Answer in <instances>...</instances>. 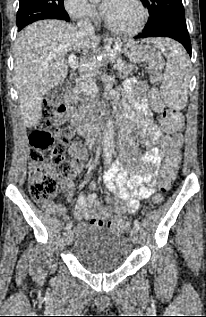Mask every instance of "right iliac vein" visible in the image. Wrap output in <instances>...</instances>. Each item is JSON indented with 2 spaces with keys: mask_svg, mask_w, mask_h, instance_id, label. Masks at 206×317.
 <instances>
[{
  "mask_svg": "<svg viewBox=\"0 0 206 317\" xmlns=\"http://www.w3.org/2000/svg\"><path fill=\"white\" fill-rule=\"evenodd\" d=\"M74 238V233L72 230H68V232L66 233V243L67 245H70L73 241Z\"/></svg>",
  "mask_w": 206,
  "mask_h": 317,
  "instance_id": "1",
  "label": "right iliac vein"
}]
</instances>
